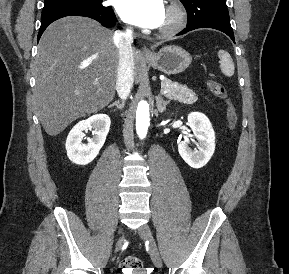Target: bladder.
I'll list each match as a JSON object with an SVG mask.
<instances>
[{
    "instance_id": "1",
    "label": "bladder",
    "mask_w": 289,
    "mask_h": 274,
    "mask_svg": "<svg viewBox=\"0 0 289 274\" xmlns=\"http://www.w3.org/2000/svg\"><path fill=\"white\" fill-rule=\"evenodd\" d=\"M126 274H142V273H140L139 271H133V272L126 273Z\"/></svg>"
}]
</instances>
